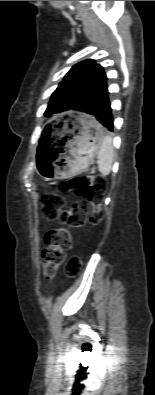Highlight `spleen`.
Here are the masks:
<instances>
[{"mask_svg": "<svg viewBox=\"0 0 155 395\" xmlns=\"http://www.w3.org/2000/svg\"><path fill=\"white\" fill-rule=\"evenodd\" d=\"M113 158L114 148L112 138L110 136H104L98 152V169L102 175L106 176L111 172Z\"/></svg>", "mask_w": 155, "mask_h": 395, "instance_id": "1", "label": "spleen"}]
</instances>
